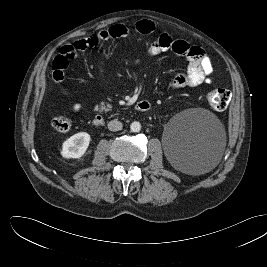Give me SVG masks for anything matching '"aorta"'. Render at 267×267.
Wrapping results in <instances>:
<instances>
[{
  "instance_id": "obj_1",
  "label": "aorta",
  "mask_w": 267,
  "mask_h": 267,
  "mask_svg": "<svg viewBox=\"0 0 267 267\" xmlns=\"http://www.w3.org/2000/svg\"><path fill=\"white\" fill-rule=\"evenodd\" d=\"M130 129L132 132H139L141 130V124L137 121H134L131 123Z\"/></svg>"
}]
</instances>
